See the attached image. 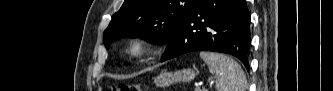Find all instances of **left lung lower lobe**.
Here are the masks:
<instances>
[{
  "instance_id": "left-lung-lower-lobe-1",
  "label": "left lung lower lobe",
  "mask_w": 333,
  "mask_h": 91,
  "mask_svg": "<svg viewBox=\"0 0 333 91\" xmlns=\"http://www.w3.org/2000/svg\"><path fill=\"white\" fill-rule=\"evenodd\" d=\"M250 14L245 0H198L182 21L161 61L193 51L237 57L249 70Z\"/></svg>"
}]
</instances>
